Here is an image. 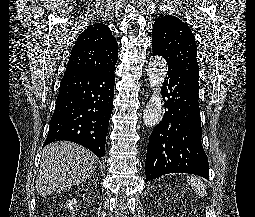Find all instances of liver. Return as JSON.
<instances>
[{
    "instance_id": "1",
    "label": "liver",
    "mask_w": 255,
    "mask_h": 217,
    "mask_svg": "<svg viewBox=\"0 0 255 217\" xmlns=\"http://www.w3.org/2000/svg\"><path fill=\"white\" fill-rule=\"evenodd\" d=\"M95 169V155L83 146L67 141L51 143L41 154L37 192L45 196L78 185Z\"/></svg>"
}]
</instances>
